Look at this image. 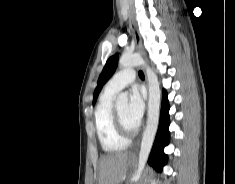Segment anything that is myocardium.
I'll list each match as a JSON object with an SVG mask.
<instances>
[{"label": "myocardium", "instance_id": "f54148a6", "mask_svg": "<svg viewBox=\"0 0 235 184\" xmlns=\"http://www.w3.org/2000/svg\"><path fill=\"white\" fill-rule=\"evenodd\" d=\"M114 123L118 134L127 141L135 139L140 133V128H136L133 131L128 130L123 125L120 115L116 109L114 110Z\"/></svg>", "mask_w": 235, "mask_h": 184}]
</instances>
